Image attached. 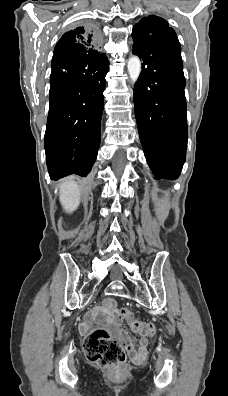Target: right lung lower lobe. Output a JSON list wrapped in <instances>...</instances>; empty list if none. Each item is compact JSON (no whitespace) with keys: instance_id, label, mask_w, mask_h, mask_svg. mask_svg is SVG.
Wrapping results in <instances>:
<instances>
[{"instance_id":"1","label":"right lung lower lobe","mask_w":228,"mask_h":396,"mask_svg":"<svg viewBox=\"0 0 228 396\" xmlns=\"http://www.w3.org/2000/svg\"><path fill=\"white\" fill-rule=\"evenodd\" d=\"M109 61L99 50L70 49L54 54L45 132L51 179L87 176L101 140L103 91Z\"/></svg>"}]
</instances>
